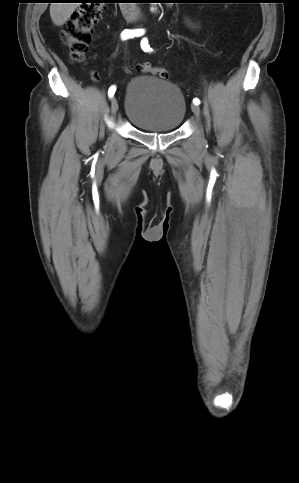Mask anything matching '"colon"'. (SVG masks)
Wrapping results in <instances>:
<instances>
[{"mask_svg":"<svg viewBox=\"0 0 299 483\" xmlns=\"http://www.w3.org/2000/svg\"><path fill=\"white\" fill-rule=\"evenodd\" d=\"M103 3V0H93L89 4L82 5L72 13L64 26L62 40L69 47L71 60L75 63L83 61L89 50L93 29L104 10ZM138 68L164 80L169 78L168 71L162 67L142 64Z\"/></svg>","mask_w":299,"mask_h":483,"instance_id":"obj_1","label":"colon"}]
</instances>
